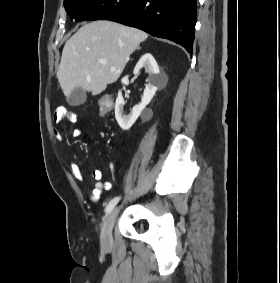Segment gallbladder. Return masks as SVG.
<instances>
[{
    "instance_id": "bac80fb5",
    "label": "gallbladder",
    "mask_w": 280,
    "mask_h": 283,
    "mask_svg": "<svg viewBox=\"0 0 280 283\" xmlns=\"http://www.w3.org/2000/svg\"><path fill=\"white\" fill-rule=\"evenodd\" d=\"M87 98L86 90L81 87L74 88L71 95L67 97V101L71 106L82 105Z\"/></svg>"
}]
</instances>
